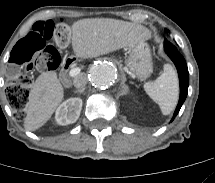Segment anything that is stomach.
I'll list each match as a JSON object with an SVG mask.
<instances>
[{
    "label": "stomach",
    "mask_w": 215,
    "mask_h": 183,
    "mask_svg": "<svg viewBox=\"0 0 215 183\" xmlns=\"http://www.w3.org/2000/svg\"><path fill=\"white\" fill-rule=\"evenodd\" d=\"M127 66L140 79L147 78L153 70L152 57L149 46L145 43H138L129 48Z\"/></svg>",
    "instance_id": "0dacf381"
}]
</instances>
